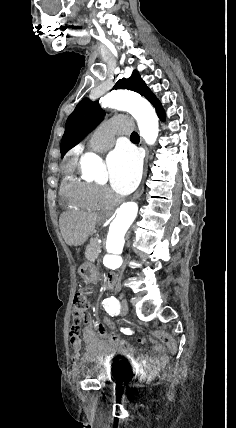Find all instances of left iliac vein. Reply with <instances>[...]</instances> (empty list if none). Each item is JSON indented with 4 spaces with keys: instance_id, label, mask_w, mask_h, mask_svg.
Returning <instances> with one entry per match:
<instances>
[{
    "instance_id": "4c4485c4",
    "label": "left iliac vein",
    "mask_w": 236,
    "mask_h": 428,
    "mask_svg": "<svg viewBox=\"0 0 236 428\" xmlns=\"http://www.w3.org/2000/svg\"><path fill=\"white\" fill-rule=\"evenodd\" d=\"M121 309H122L125 313H128V310L130 309V306L128 305V303H127V299H126V298H123V299L121 300Z\"/></svg>"
}]
</instances>
